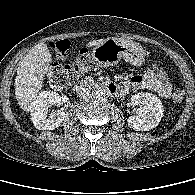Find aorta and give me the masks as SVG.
Listing matches in <instances>:
<instances>
[{
    "mask_svg": "<svg viewBox=\"0 0 195 195\" xmlns=\"http://www.w3.org/2000/svg\"><path fill=\"white\" fill-rule=\"evenodd\" d=\"M105 95H106V91L104 89H98L95 93V96L98 99H102L103 97H105Z\"/></svg>",
    "mask_w": 195,
    "mask_h": 195,
    "instance_id": "aorta-1",
    "label": "aorta"
}]
</instances>
